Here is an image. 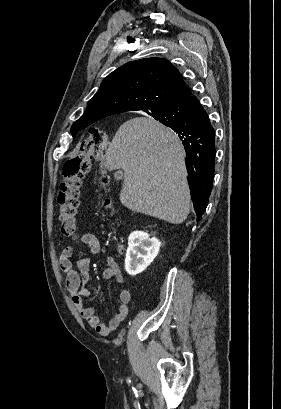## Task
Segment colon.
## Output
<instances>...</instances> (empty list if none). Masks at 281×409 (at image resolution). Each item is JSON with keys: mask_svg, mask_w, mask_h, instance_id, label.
I'll return each mask as SVG.
<instances>
[{"mask_svg": "<svg viewBox=\"0 0 281 409\" xmlns=\"http://www.w3.org/2000/svg\"><path fill=\"white\" fill-rule=\"evenodd\" d=\"M110 146L107 130L92 128L88 139L81 145L79 153L69 158L62 167L63 181L57 193V204L62 232H71L76 212L79 206V189L83 173L91 158H103ZM99 181L105 184L108 176L101 174ZM109 203V201L107 202Z\"/></svg>", "mask_w": 281, "mask_h": 409, "instance_id": "colon-1", "label": "colon"}]
</instances>
